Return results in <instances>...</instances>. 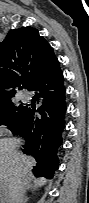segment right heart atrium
Wrapping results in <instances>:
<instances>
[{
	"mask_svg": "<svg viewBox=\"0 0 89 203\" xmlns=\"http://www.w3.org/2000/svg\"><path fill=\"white\" fill-rule=\"evenodd\" d=\"M8 133L7 127L6 126H2L1 128V135H6Z\"/></svg>",
	"mask_w": 89,
	"mask_h": 203,
	"instance_id": "right-heart-atrium-1",
	"label": "right heart atrium"
}]
</instances>
